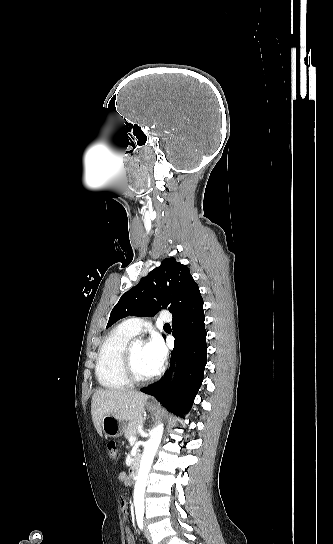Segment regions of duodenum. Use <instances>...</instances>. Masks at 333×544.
Masks as SVG:
<instances>
[{
  "label": "duodenum",
  "instance_id": "1",
  "mask_svg": "<svg viewBox=\"0 0 333 544\" xmlns=\"http://www.w3.org/2000/svg\"><path fill=\"white\" fill-rule=\"evenodd\" d=\"M139 468H140V463L138 460H134L132 463H131V466H130V469H129V475L131 478H135L139 472Z\"/></svg>",
  "mask_w": 333,
  "mask_h": 544
}]
</instances>
